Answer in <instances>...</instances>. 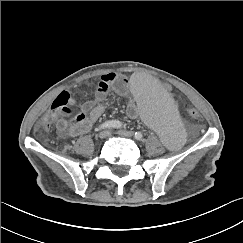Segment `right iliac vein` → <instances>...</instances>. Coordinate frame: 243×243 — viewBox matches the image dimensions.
Returning <instances> with one entry per match:
<instances>
[{
  "label": "right iliac vein",
  "instance_id": "63e3f726",
  "mask_svg": "<svg viewBox=\"0 0 243 243\" xmlns=\"http://www.w3.org/2000/svg\"><path fill=\"white\" fill-rule=\"evenodd\" d=\"M110 135V132L108 130H103L99 133L98 137L100 139H104Z\"/></svg>",
  "mask_w": 243,
  "mask_h": 243
}]
</instances>
